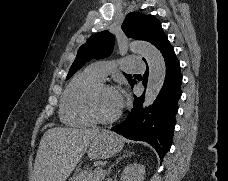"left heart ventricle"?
<instances>
[{
    "label": "left heart ventricle",
    "mask_w": 228,
    "mask_h": 181,
    "mask_svg": "<svg viewBox=\"0 0 228 181\" xmlns=\"http://www.w3.org/2000/svg\"><path fill=\"white\" fill-rule=\"evenodd\" d=\"M117 109V98L114 89H104L98 96V110L104 116L113 115Z\"/></svg>",
    "instance_id": "obj_1"
}]
</instances>
